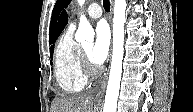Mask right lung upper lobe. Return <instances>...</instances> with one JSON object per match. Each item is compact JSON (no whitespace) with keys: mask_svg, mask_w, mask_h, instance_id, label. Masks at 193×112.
Returning a JSON list of instances; mask_svg holds the SVG:
<instances>
[{"mask_svg":"<svg viewBox=\"0 0 193 112\" xmlns=\"http://www.w3.org/2000/svg\"><path fill=\"white\" fill-rule=\"evenodd\" d=\"M68 22V17L65 11H63L59 21H58V25H57V29H56V34L55 37L53 39V42H55L56 38L60 35V33L62 32V30L65 28V26L67 25ZM54 49V45L51 46L50 50Z\"/></svg>","mask_w":193,"mask_h":112,"instance_id":"obj_1","label":"right lung upper lobe"}]
</instances>
